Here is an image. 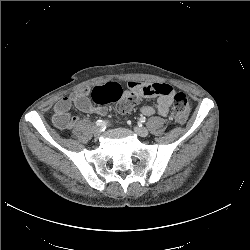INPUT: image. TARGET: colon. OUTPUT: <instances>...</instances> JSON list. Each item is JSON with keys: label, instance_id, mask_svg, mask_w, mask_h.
<instances>
[{"label": "colon", "instance_id": "5ec220e1", "mask_svg": "<svg viewBox=\"0 0 250 250\" xmlns=\"http://www.w3.org/2000/svg\"><path fill=\"white\" fill-rule=\"evenodd\" d=\"M91 97L96 104L101 106L116 104L120 113L129 112L142 98L137 92L123 91L121 86L114 82L95 87L91 92ZM190 112L191 106L187 96L184 93H177L174 96L172 119L182 124L187 121Z\"/></svg>", "mask_w": 250, "mask_h": 250}]
</instances>
